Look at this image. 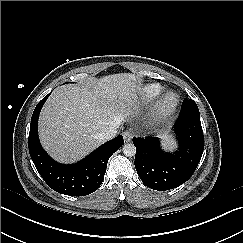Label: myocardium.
Returning <instances> with one entry per match:
<instances>
[{
    "label": "myocardium",
    "mask_w": 243,
    "mask_h": 243,
    "mask_svg": "<svg viewBox=\"0 0 243 243\" xmlns=\"http://www.w3.org/2000/svg\"><path fill=\"white\" fill-rule=\"evenodd\" d=\"M179 104V95L175 91H166L163 93L155 104L152 116L155 120L167 118L174 112Z\"/></svg>",
    "instance_id": "obj_1"
}]
</instances>
